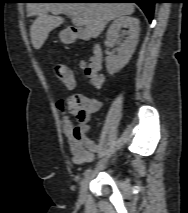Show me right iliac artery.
Listing matches in <instances>:
<instances>
[{
    "label": "right iliac artery",
    "mask_w": 188,
    "mask_h": 213,
    "mask_svg": "<svg viewBox=\"0 0 188 213\" xmlns=\"http://www.w3.org/2000/svg\"><path fill=\"white\" fill-rule=\"evenodd\" d=\"M90 173H91V168L85 170L84 176L86 177V176H88Z\"/></svg>",
    "instance_id": "obj_1"
}]
</instances>
